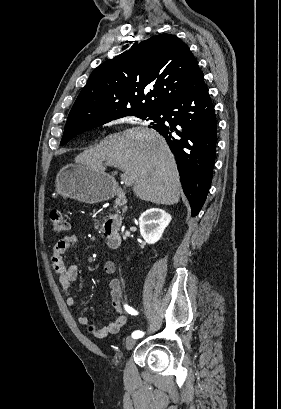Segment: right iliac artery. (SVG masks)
<instances>
[{"instance_id": "82829eb1", "label": "right iliac artery", "mask_w": 281, "mask_h": 409, "mask_svg": "<svg viewBox=\"0 0 281 409\" xmlns=\"http://www.w3.org/2000/svg\"><path fill=\"white\" fill-rule=\"evenodd\" d=\"M125 310H126L129 314H131V315H136V314H137V312H136L132 307H130V306H128V305H125ZM142 336H143V332H142V331H139V330L134 331V332L132 333V337H133L134 339L140 338V337H142Z\"/></svg>"}]
</instances>
